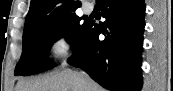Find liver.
Returning <instances> with one entry per match:
<instances>
[{"label": "liver", "instance_id": "6515ba94", "mask_svg": "<svg viewBox=\"0 0 173 91\" xmlns=\"http://www.w3.org/2000/svg\"><path fill=\"white\" fill-rule=\"evenodd\" d=\"M15 91H105L84 72L64 70L35 79L21 80Z\"/></svg>", "mask_w": 173, "mask_h": 91}]
</instances>
